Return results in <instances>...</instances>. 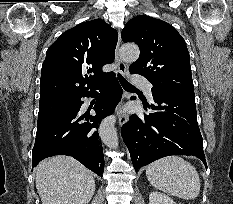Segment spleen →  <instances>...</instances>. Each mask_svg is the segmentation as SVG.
I'll return each mask as SVG.
<instances>
[{
  "label": "spleen",
  "instance_id": "obj_1",
  "mask_svg": "<svg viewBox=\"0 0 233 204\" xmlns=\"http://www.w3.org/2000/svg\"><path fill=\"white\" fill-rule=\"evenodd\" d=\"M146 176L153 187L185 200L195 199L201 188L194 166L179 156H169L150 164Z\"/></svg>",
  "mask_w": 233,
  "mask_h": 204
}]
</instances>
